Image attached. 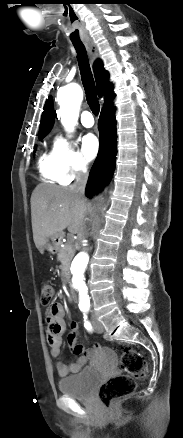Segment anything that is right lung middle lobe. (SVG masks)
Masks as SVG:
<instances>
[{
  "label": "right lung middle lobe",
  "instance_id": "obj_1",
  "mask_svg": "<svg viewBox=\"0 0 183 438\" xmlns=\"http://www.w3.org/2000/svg\"><path fill=\"white\" fill-rule=\"evenodd\" d=\"M46 135L39 136V139H43Z\"/></svg>",
  "mask_w": 183,
  "mask_h": 438
}]
</instances>
